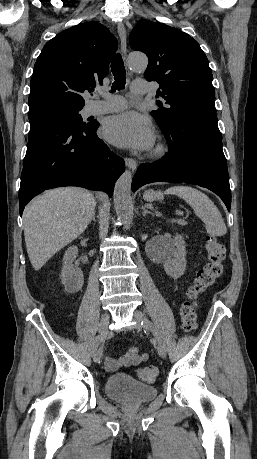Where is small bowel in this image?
<instances>
[{"label":"small bowel","instance_id":"obj_1","mask_svg":"<svg viewBox=\"0 0 257 459\" xmlns=\"http://www.w3.org/2000/svg\"><path fill=\"white\" fill-rule=\"evenodd\" d=\"M197 303L194 302V305ZM148 359L147 353H140L138 347H130L126 350L119 358H113L111 356L105 357V369L108 372H113L122 366H136L143 361Z\"/></svg>","mask_w":257,"mask_h":459}]
</instances>
